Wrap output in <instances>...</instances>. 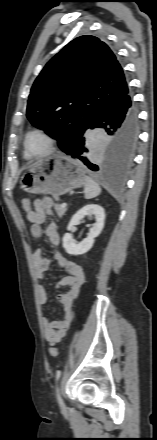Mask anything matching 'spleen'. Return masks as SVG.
I'll list each match as a JSON object with an SVG mask.
<instances>
[{"label":"spleen","mask_w":157,"mask_h":440,"mask_svg":"<svg viewBox=\"0 0 157 440\" xmlns=\"http://www.w3.org/2000/svg\"><path fill=\"white\" fill-rule=\"evenodd\" d=\"M84 194L86 199L97 197L101 193L100 186L89 176H84Z\"/></svg>","instance_id":"spleen-1"}]
</instances>
